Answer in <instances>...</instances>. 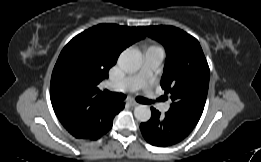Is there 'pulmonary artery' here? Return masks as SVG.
<instances>
[{
    "label": "pulmonary artery",
    "instance_id": "e3ab8cb5",
    "mask_svg": "<svg viewBox=\"0 0 261 162\" xmlns=\"http://www.w3.org/2000/svg\"><path fill=\"white\" fill-rule=\"evenodd\" d=\"M164 53L161 48L150 47L143 53L142 65L136 74L125 77L119 82H114L111 87L117 92H130L139 88L146 90V97L154 103L160 112H166L169 104L157 99L154 92L149 87L150 79L163 60Z\"/></svg>",
    "mask_w": 261,
    "mask_h": 162
}]
</instances>
